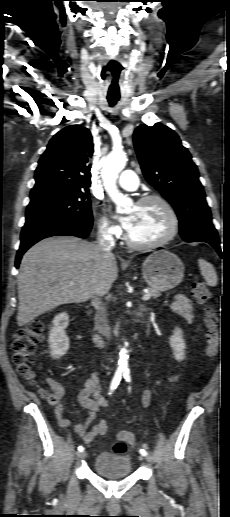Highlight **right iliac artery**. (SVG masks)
Instances as JSON below:
<instances>
[{"mask_svg":"<svg viewBox=\"0 0 230 517\" xmlns=\"http://www.w3.org/2000/svg\"><path fill=\"white\" fill-rule=\"evenodd\" d=\"M121 376H122V371H116L115 372V375L112 379V382H111V385H110V392H109V395L112 394V392L117 388V386L119 385V382L121 380ZM78 451L79 452H82L84 451V448L83 446H79L78 447Z\"/></svg>","mask_w":230,"mask_h":517,"instance_id":"right-iliac-artery-1","label":"right iliac artery"}]
</instances>
